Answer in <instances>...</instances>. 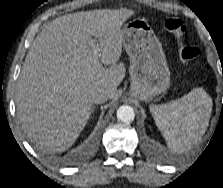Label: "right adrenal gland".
<instances>
[{"mask_svg": "<svg viewBox=\"0 0 223 188\" xmlns=\"http://www.w3.org/2000/svg\"><path fill=\"white\" fill-rule=\"evenodd\" d=\"M94 107H92L91 111H93Z\"/></svg>", "mask_w": 223, "mask_h": 188, "instance_id": "2a0ac1e0", "label": "right adrenal gland"}]
</instances>
